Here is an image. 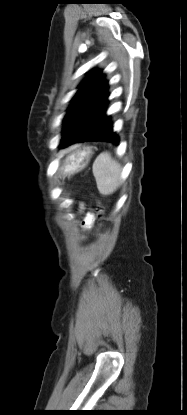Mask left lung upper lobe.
Returning a JSON list of instances; mask_svg holds the SVG:
<instances>
[{"instance_id":"5c2ea615","label":"left lung upper lobe","mask_w":187,"mask_h":415,"mask_svg":"<svg viewBox=\"0 0 187 415\" xmlns=\"http://www.w3.org/2000/svg\"><path fill=\"white\" fill-rule=\"evenodd\" d=\"M101 76V70L93 71L92 73L88 74V76L82 81L79 85V90L77 91L76 95L72 99V103L68 108V113L64 118V131L63 134L67 131L69 126L74 121L75 117L77 116L82 103L84 102L86 96L90 92V89L94 85V83L98 80Z\"/></svg>"}]
</instances>
